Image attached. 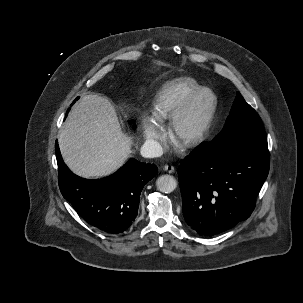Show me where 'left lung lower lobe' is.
<instances>
[{
	"mask_svg": "<svg viewBox=\"0 0 303 303\" xmlns=\"http://www.w3.org/2000/svg\"><path fill=\"white\" fill-rule=\"evenodd\" d=\"M269 154L230 143L202 145L180 164L186 223L213 236L246 220L269 173Z\"/></svg>",
	"mask_w": 303,
	"mask_h": 303,
	"instance_id": "obj_1",
	"label": "left lung lower lobe"
}]
</instances>
